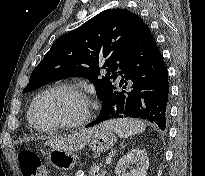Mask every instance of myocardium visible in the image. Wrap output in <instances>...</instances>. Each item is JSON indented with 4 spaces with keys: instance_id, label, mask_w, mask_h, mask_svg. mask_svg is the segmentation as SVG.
<instances>
[{
    "instance_id": "obj_1",
    "label": "myocardium",
    "mask_w": 205,
    "mask_h": 176,
    "mask_svg": "<svg viewBox=\"0 0 205 176\" xmlns=\"http://www.w3.org/2000/svg\"><path fill=\"white\" fill-rule=\"evenodd\" d=\"M56 91H65V92H69L77 96L81 100L84 106L83 114L78 119L73 120V121H64L61 123H56V124L47 125V126L38 125L34 120V111H35L37 103L42 98H44L46 95L52 92H56ZM91 115H92V103H91L89 96L80 87L74 84L59 83V84H55V85H52L46 88L34 98L29 108V111H28V120H29L30 125L34 129L45 132V131H53V130H58V129L80 128L90 121Z\"/></svg>"
}]
</instances>
